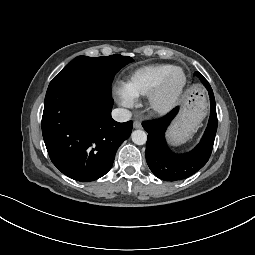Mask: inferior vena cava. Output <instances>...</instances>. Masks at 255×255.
Returning a JSON list of instances; mask_svg holds the SVG:
<instances>
[{
	"label": "inferior vena cava",
	"mask_w": 255,
	"mask_h": 255,
	"mask_svg": "<svg viewBox=\"0 0 255 255\" xmlns=\"http://www.w3.org/2000/svg\"><path fill=\"white\" fill-rule=\"evenodd\" d=\"M131 116V112L124 108H117L112 111V118L117 122L129 121Z\"/></svg>",
	"instance_id": "obj_1"
}]
</instances>
